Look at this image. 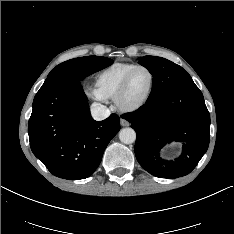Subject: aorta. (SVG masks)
Here are the masks:
<instances>
[{
  "instance_id": "obj_1",
  "label": "aorta",
  "mask_w": 234,
  "mask_h": 234,
  "mask_svg": "<svg viewBox=\"0 0 234 234\" xmlns=\"http://www.w3.org/2000/svg\"><path fill=\"white\" fill-rule=\"evenodd\" d=\"M119 139L124 144H132L136 140V132L132 128H123L119 133Z\"/></svg>"
}]
</instances>
